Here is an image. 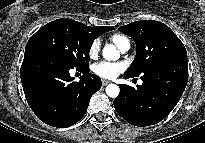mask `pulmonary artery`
Listing matches in <instances>:
<instances>
[{"instance_id":"1","label":"pulmonary artery","mask_w":205,"mask_h":143,"mask_svg":"<svg viewBox=\"0 0 205 143\" xmlns=\"http://www.w3.org/2000/svg\"><path fill=\"white\" fill-rule=\"evenodd\" d=\"M130 42L129 41H127V42H125L119 49H120V51L122 52V53H125V52H127L129 49H130ZM142 83V81H140V84Z\"/></svg>"}]
</instances>
